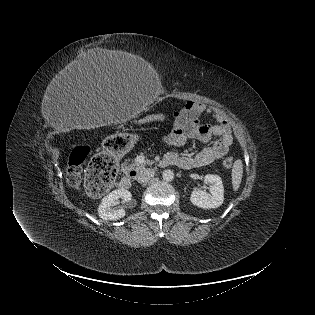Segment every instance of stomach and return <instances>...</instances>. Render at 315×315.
<instances>
[{"label": "stomach", "mask_w": 315, "mask_h": 315, "mask_svg": "<svg viewBox=\"0 0 315 315\" xmlns=\"http://www.w3.org/2000/svg\"><path fill=\"white\" fill-rule=\"evenodd\" d=\"M138 139V136L130 139L124 134L111 135L105 139L103 150L111 158L124 157L130 153Z\"/></svg>", "instance_id": "1"}]
</instances>
